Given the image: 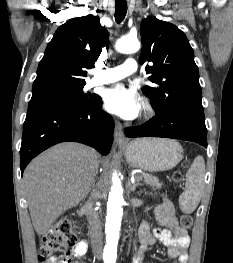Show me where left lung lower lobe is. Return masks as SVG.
I'll use <instances>...</instances> for the list:
<instances>
[{"mask_svg": "<svg viewBox=\"0 0 233 263\" xmlns=\"http://www.w3.org/2000/svg\"><path fill=\"white\" fill-rule=\"evenodd\" d=\"M128 137H165L199 143L207 147V129L203 108L177 107L156 115L141 126L127 128Z\"/></svg>", "mask_w": 233, "mask_h": 263, "instance_id": "0a47b994", "label": "left lung lower lobe"}]
</instances>
